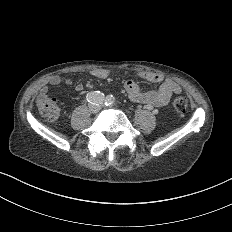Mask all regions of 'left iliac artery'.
Segmentation results:
<instances>
[{
  "label": "left iliac artery",
  "mask_w": 232,
  "mask_h": 232,
  "mask_svg": "<svg viewBox=\"0 0 232 232\" xmlns=\"http://www.w3.org/2000/svg\"><path fill=\"white\" fill-rule=\"evenodd\" d=\"M115 98L113 97V95H108L105 98V105L106 106H114L115 105Z\"/></svg>",
  "instance_id": "44dca946"
}]
</instances>
